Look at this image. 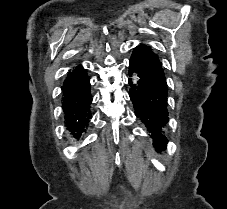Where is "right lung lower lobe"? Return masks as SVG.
<instances>
[{
	"label": "right lung lower lobe",
	"mask_w": 227,
	"mask_h": 209,
	"mask_svg": "<svg viewBox=\"0 0 227 209\" xmlns=\"http://www.w3.org/2000/svg\"><path fill=\"white\" fill-rule=\"evenodd\" d=\"M62 90L66 126L72 137L80 138L91 118L89 109L92 95L86 70L81 66L76 67L68 74Z\"/></svg>",
	"instance_id": "obj_1"
}]
</instances>
